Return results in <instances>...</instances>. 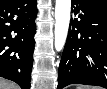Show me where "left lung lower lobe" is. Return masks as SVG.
Here are the masks:
<instances>
[{"instance_id": "obj_1", "label": "left lung lower lobe", "mask_w": 107, "mask_h": 89, "mask_svg": "<svg viewBox=\"0 0 107 89\" xmlns=\"http://www.w3.org/2000/svg\"><path fill=\"white\" fill-rule=\"evenodd\" d=\"M72 7L79 20H71L59 65L58 89L74 83L107 88V6L74 0Z\"/></svg>"}]
</instances>
